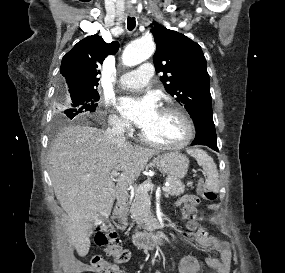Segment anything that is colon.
Here are the masks:
<instances>
[{
    "label": "colon",
    "instance_id": "5ec220e1",
    "mask_svg": "<svg viewBox=\"0 0 285 273\" xmlns=\"http://www.w3.org/2000/svg\"><path fill=\"white\" fill-rule=\"evenodd\" d=\"M199 195L206 201H215L217 194L214 189L210 188L204 181L198 185ZM184 219L190 235H195L196 232H203L204 228L201 223L197 222L199 214L196 211V206L191 201L183 205ZM95 242L99 246L105 247L106 252L115 258L116 263H112L104 259L100 255H96L91 259V265L95 273H120L117 264L127 263L130 259V252L124 249L116 236V233L110 228H105L99 231L95 236Z\"/></svg>",
    "mask_w": 285,
    "mask_h": 273
}]
</instances>
